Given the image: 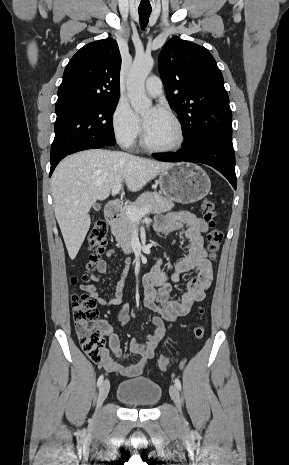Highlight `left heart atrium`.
Segmentation results:
<instances>
[{"instance_id": "obj_1", "label": "left heart atrium", "mask_w": 289, "mask_h": 465, "mask_svg": "<svg viewBox=\"0 0 289 465\" xmlns=\"http://www.w3.org/2000/svg\"><path fill=\"white\" fill-rule=\"evenodd\" d=\"M160 111V109L158 108H153L151 109V114H150V117L144 121V126Z\"/></svg>"}]
</instances>
